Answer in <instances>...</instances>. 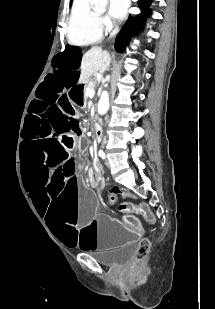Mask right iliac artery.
<instances>
[{"instance_id":"82829eb1","label":"right iliac artery","mask_w":215,"mask_h":309,"mask_svg":"<svg viewBox=\"0 0 215 309\" xmlns=\"http://www.w3.org/2000/svg\"><path fill=\"white\" fill-rule=\"evenodd\" d=\"M99 156H100L102 159H105V153L103 152V150H100V151H99Z\"/></svg>"}]
</instances>
